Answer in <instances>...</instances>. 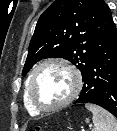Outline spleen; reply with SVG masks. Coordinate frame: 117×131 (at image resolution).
I'll return each instance as SVG.
<instances>
[{
	"label": "spleen",
	"instance_id": "spleen-1",
	"mask_svg": "<svg viewBox=\"0 0 117 131\" xmlns=\"http://www.w3.org/2000/svg\"><path fill=\"white\" fill-rule=\"evenodd\" d=\"M85 107L93 114V131H117V120L110 112L94 104L87 103Z\"/></svg>",
	"mask_w": 117,
	"mask_h": 131
}]
</instances>
